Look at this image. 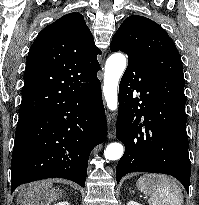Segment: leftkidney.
Listing matches in <instances>:
<instances>
[{"mask_svg": "<svg viewBox=\"0 0 199 205\" xmlns=\"http://www.w3.org/2000/svg\"><path fill=\"white\" fill-rule=\"evenodd\" d=\"M127 205H142V204L135 202V201H130L127 203Z\"/></svg>", "mask_w": 199, "mask_h": 205, "instance_id": "5707ae66", "label": "left kidney"}]
</instances>
